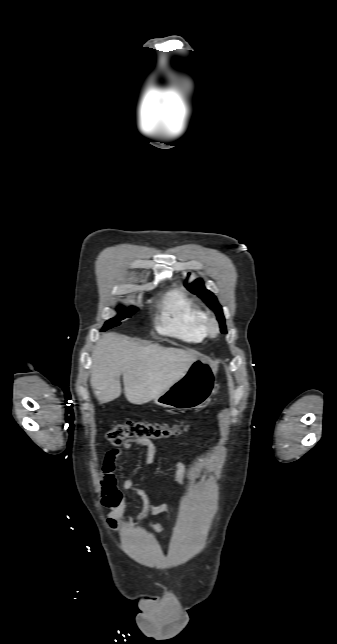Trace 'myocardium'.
Instances as JSON below:
<instances>
[{
	"label": "myocardium",
	"instance_id": "obj_1",
	"mask_svg": "<svg viewBox=\"0 0 337 644\" xmlns=\"http://www.w3.org/2000/svg\"><path fill=\"white\" fill-rule=\"evenodd\" d=\"M204 328H205V333L208 336H216L219 332V325L214 317H206L205 323H204Z\"/></svg>",
	"mask_w": 337,
	"mask_h": 644
}]
</instances>
